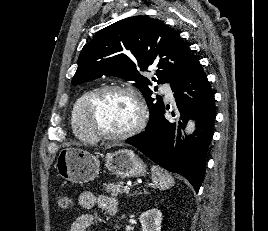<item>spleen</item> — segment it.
<instances>
[{
    "label": "spleen",
    "instance_id": "1",
    "mask_svg": "<svg viewBox=\"0 0 268 231\" xmlns=\"http://www.w3.org/2000/svg\"><path fill=\"white\" fill-rule=\"evenodd\" d=\"M151 173L152 182L157 188L164 190L174 185V179L172 176L161 167L153 165L151 167Z\"/></svg>",
    "mask_w": 268,
    "mask_h": 231
}]
</instances>
